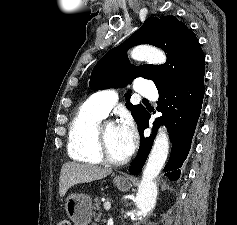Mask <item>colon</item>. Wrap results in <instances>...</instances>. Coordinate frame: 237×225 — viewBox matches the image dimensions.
Returning a JSON list of instances; mask_svg holds the SVG:
<instances>
[{"label":"colon","mask_w":237,"mask_h":225,"mask_svg":"<svg viewBox=\"0 0 237 225\" xmlns=\"http://www.w3.org/2000/svg\"><path fill=\"white\" fill-rule=\"evenodd\" d=\"M57 225H71L68 219L62 218L58 221Z\"/></svg>","instance_id":"colon-1"}]
</instances>
